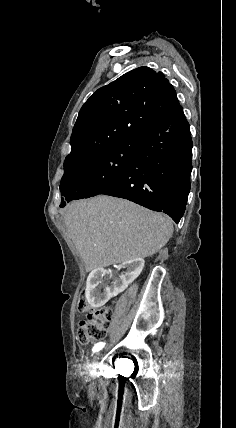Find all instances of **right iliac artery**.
<instances>
[{
  "instance_id": "82829eb1",
  "label": "right iliac artery",
  "mask_w": 236,
  "mask_h": 428,
  "mask_svg": "<svg viewBox=\"0 0 236 428\" xmlns=\"http://www.w3.org/2000/svg\"><path fill=\"white\" fill-rule=\"evenodd\" d=\"M104 345H105V343H103V342H99V343L95 344L93 349H92L93 353L100 351L104 347Z\"/></svg>"
}]
</instances>
